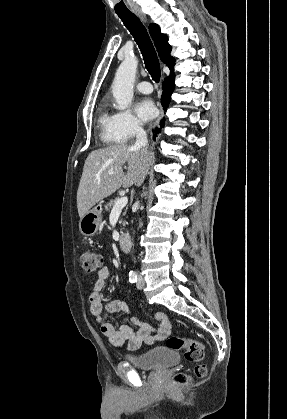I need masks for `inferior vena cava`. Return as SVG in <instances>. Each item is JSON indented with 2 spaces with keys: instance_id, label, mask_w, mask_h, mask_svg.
<instances>
[{
  "instance_id": "1",
  "label": "inferior vena cava",
  "mask_w": 287,
  "mask_h": 419,
  "mask_svg": "<svg viewBox=\"0 0 287 419\" xmlns=\"http://www.w3.org/2000/svg\"><path fill=\"white\" fill-rule=\"evenodd\" d=\"M135 133H136V142L134 146L137 148H144L145 150H147L148 138H147L146 131L141 126L137 125L135 127Z\"/></svg>"
}]
</instances>
